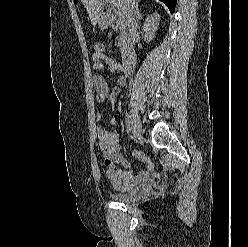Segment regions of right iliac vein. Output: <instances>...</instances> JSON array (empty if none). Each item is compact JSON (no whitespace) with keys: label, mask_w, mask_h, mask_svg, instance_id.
<instances>
[{"label":"right iliac vein","mask_w":248,"mask_h":247,"mask_svg":"<svg viewBox=\"0 0 248 247\" xmlns=\"http://www.w3.org/2000/svg\"><path fill=\"white\" fill-rule=\"evenodd\" d=\"M131 126L134 138L137 141L142 140L141 125L138 118L135 115H131Z\"/></svg>","instance_id":"obj_1"}]
</instances>
